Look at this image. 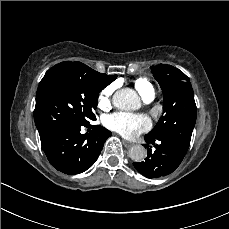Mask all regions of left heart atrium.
<instances>
[{
  "label": "left heart atrium",
  "mask_w": 229,
  "mask_h": 229,
  "mask_svg": "<svg viewBox=\"0 0 229 229\" xmlns=\"http://www.w3.org/2000/svg\"><path fill=\"white\" fill-rule=\"evenodd\" d=\"M105 124L113 131L128 138L137 137L151 127V121L146 115L122 112L109 115Z\"/></svg>",
  "instance_id": "obj_1"
}]
</instances>
